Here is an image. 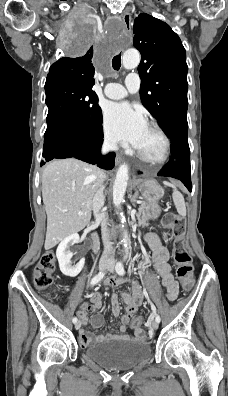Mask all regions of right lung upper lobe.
Instances as JSON below:
<instances>
[{"label": "right lung upper lobe", "instance_id": "1", "mask_svg": "<svg viewBox=\"0 0 228 396\" xmlns=\"http://www.w3.org/2000/svg\"><path fill=\"white\" fill-rule=\"evenodd\" d=\"M93 50L92 47L86 54L69 58L63 57L55 62L49 70L47 79H72L79 81L89 87H93L95 68L92 64Z\"/></svg>", "mask_w": 228, "mask_h": 396}]
</instances>
